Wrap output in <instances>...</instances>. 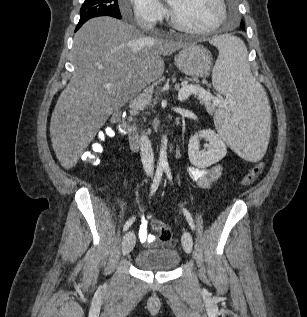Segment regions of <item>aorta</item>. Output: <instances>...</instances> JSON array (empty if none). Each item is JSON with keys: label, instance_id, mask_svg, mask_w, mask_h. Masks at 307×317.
Here are the masks:
<instances>
[{"label": "aorta", "instance_id": "obj_1", "mask_svg": "<svg viewBox=\"0 0 307 317\" xmlns=\"http://www.w3.org/2000/svg\"><path fill=\"white\" fill-rule=\"evenodd\" d=\"M167 145H168V138H167V135L165 134L161 138L159 160H158V164L161 167H167L168 166Z\"/></svg>", "mask_w": 307, "mask_h": 317}]
</instances>
